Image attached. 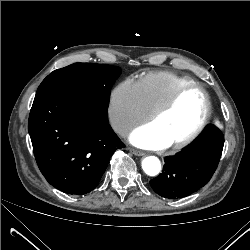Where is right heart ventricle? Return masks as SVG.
I'll return each instance as SVG.
<instances>
[{
    "label": "right heart ventricle",
    "instance_id": "1",
    "mask_svg": "<svg viewBox=\"0 0 250 250\" xmlns=\"http://www.w3.org/2000/svg\"><path fill=\"white\" fill-rule=\"evenodd\" d=\"M193 82L173 72L155 71L140 77L136 85L146 108L153 114L180 86Z\"/></svg>",
    "mask_w": 250,
    "mask_h": 250
}]
</instances>
